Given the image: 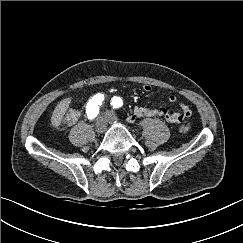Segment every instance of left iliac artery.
<instances>
[{"label":"left iliac artery","instance_id":"1","mask_svg":"<svg viewBox=\"0 0 243 243\" xmlns=\"http://www.w3.org/2000/svg\"><path fill=\"white\" fill-rule=\"evenodd\" d=\"M122 104H123V102H122L121 98H119V97H113V99L111 100V105L115 109L120 108L122 106Z\"/></svg>","mask_w":243,"mask_h":243}]
</instances>
